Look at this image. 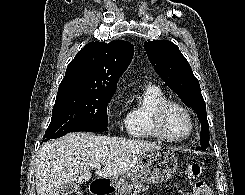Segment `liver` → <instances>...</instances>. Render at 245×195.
<instances>
[{"label": "liver", "instance_id": "6515ba94", "mask_svg": "<svg viewBox=\"0 0 245 195\" xmlns=\"http://www.w3.org/2000/svg\"><path fill=\"white\" fill-rule=\"evenodd\" d=\"M155 143L74 132L45 143L35 168L38 195H59L62 184L90 180L91 168L103 164L96 175L116 178L129 172L141 155L160 149Z\"/></svg>", "mask_w": 245, "mask_h": 195}]
</instances>
